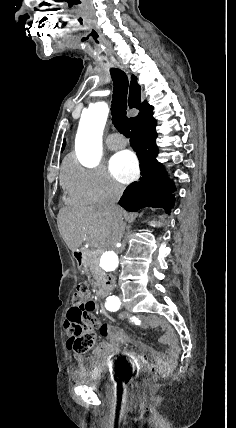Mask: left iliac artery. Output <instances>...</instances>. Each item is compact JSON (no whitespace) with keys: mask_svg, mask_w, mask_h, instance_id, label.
Masks as SVG:
<instances>
[{"mask_svg":"<svg viewBox=\"0 0 236 428\" xmlns=\"http://www.w3.org/2000/svg\"><path fill=\"white\" fill-rule=\"evenodd\" d=\"M107 302L105 303V307L109 311H117L120 308L121 302L120 299L116 296L107 297Z\"/></svg>","mask_w":236,"mask_h":428,"instance_id":"44dca946","label":"left iliac artery"}]
</instances>
